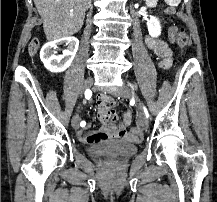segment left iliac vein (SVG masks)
<instances>
[{
    "mask_svg": "<svg viewBox=\"0 0 217 202\" xmlns=\"http://www.w3.org/2000/svg\"><path fill=\"white\" fill-rule=\"evenodd\" d=\"M112 94L114 96H120L122 98H129L131 96H134L136 102L138 103L139 109H140L139 124L144 130H147L148 125H149V120L145 114L144 105L141 99L127 86L117 88L116 90L112 92Z\"/></svg>",
    "mask_w": 217,
    "mask_h": 202,
    "instance_id": "obj_1",
    "label": "left iliac vein"
}]
</instances>
